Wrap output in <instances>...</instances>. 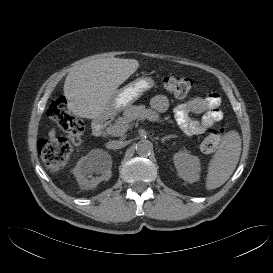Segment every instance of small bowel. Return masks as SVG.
Instances as JSON below:
<instances>
[{
    "instance_id": "c3829d8e",
    "label": "small bowel",
    "mask_w": 273,
    "mask_h": 273,
    "mask_svg": "<svg viewBox=\"0 0 273 273\" xmlns=\"http://www.w3.org/2000/svg\"><path fill=\"white\" fill-rule=\"evenodd\" d=\"M220 104V95L215 92L204 97H195L177 107V123L189 135H202L223 118ZM151 106L162 113L168 110L170 103L165 96L157 95L152 99ZM191 114H201V118L193 119Z\"/></svg>"
}]
</instances>
